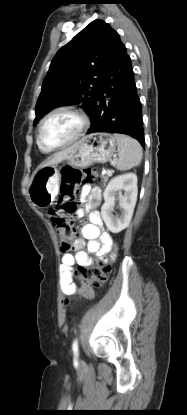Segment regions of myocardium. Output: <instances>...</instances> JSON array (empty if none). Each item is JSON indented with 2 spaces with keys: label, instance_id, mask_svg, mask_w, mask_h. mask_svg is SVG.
I'll return each instance as SVG.
<instances>
[{
  "label": "myocardium",
  "instance_id": "myocardium-1",
  "mask_svg": "<svg viewBox=\"0 0 187 415\" xmlns=\"http://www.w3.org/2000/svg\"><path fill=\"white\" fill-rule=\"evenodd\" d=\"M59 112H69L74 114L80 121V125L79 128L76 132V134L67 142L58 145V146H48L46 144H44V142L42 141L41 138V132H42V127L44 125V123L54 114L59 113ZM89 125V121L87 116L78 108L71 106V105H61V106H57L53 109H51L39 122L38 124V128H37V142L39 144L40 147H42L44 150L46 151H55V150H59V149H63L65 147H68L70 145H72L73 143H75L76 141H78L81 136L84 134V132L86 131V129L88 128Z\"/></svg>",
  "mask_w": 187,
  "mask_h": 415
}]
</instances>
